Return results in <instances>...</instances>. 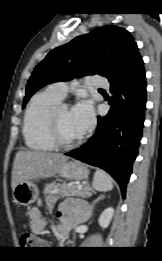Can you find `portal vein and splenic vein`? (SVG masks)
I'll return each instance as SVG.
<instances>
[{
    "mask_svg": "<svg viewBox=\"0 0 162 261\" xmlns=\"http://www.w3.org/2000/svg\"><path fill=\"white\" fill-rule=\"evenodd\" d=\"M77 188H78V189H81V188H82V185H80V184L77 185Z\"/></svg>",
    "mask_w": 162,
    "mask_h": 261,
    "instance_id": "18ae733b",
    "label": "portal vein and splenic vein"
}]
</instances>
